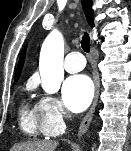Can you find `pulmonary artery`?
Returning a JSON list of instances; mask_svg holds the SVG:
<instances>
[{"mask_svg": "<svg viewBox=\"0 0 131 151\" xmlns=\"http://www.w3.org/2000/svg\"><path fill=\"white\" fill-rule=\"evenodd\" d=\"M85 67V59L80 52H70L64 60V68L69 73L81 71Z\"/></svg>", "mask_w": 131, "mask_h": 151, "instance_id": "1", "label": "pulmonary artery"}]
</instances>
